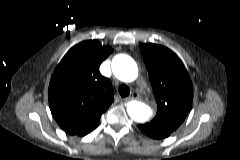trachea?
<instances>
[{
  "instance_id": "1",
  "label": "trachea",
  "mask_w": 240,
  "mask_h": 160,
  "mask_svg": "<svg viewBox=\"0 0 240 160\" xmlns=\"http://www.w3.org/2000/svg\"><path fill=\"white\" fill-rule=\"evenodd\" d=\"M118 91L121 97H127L130 94V88L125 84L120 85Z\"/></svg>"
}]
</instances>
